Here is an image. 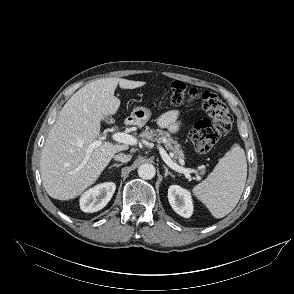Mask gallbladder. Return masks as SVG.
Wrapping results in <instances>:
<instances>
[{
    "label": "gallbladder",
    "mask_w": 294,
    "mask_h": 294,
    "mask_svg": "<svg viewBox=\"0 0 294 294\" xmlns=\"http://www.w3.org/2000/svg\"><path fill=\"white\" fill-rule=\"evenodd\" d=\"M104 120H105L107 123H113V122H114V120H113V118H112L111 116H105V117H104Z\"/></svg>",
    "instance_id": "gallbladder-1"
}]
</instances>
